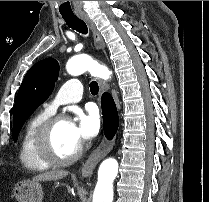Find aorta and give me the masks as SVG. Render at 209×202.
<instances>
[{
	"label": "aorta",
	"instance_id": "obj_1",
	"mask_svg": "<svg viewBox=\"0 0 209 202\" xmlns=\"http://www.w3.org/2000/svg\"><path fill=\"white\" fill-rule=\"evenodd\" d=\"M67 72L72 76L91 72L107 79L110 72L105 67H97L88 55H77L70 58L66 64ZM118 174V162L114 158L105 159L98 170V181L93 193V202L113 201V181Z\"/></svg>",
	"mask_w": 209,
	"mask_h": 202
}]
</instances>
